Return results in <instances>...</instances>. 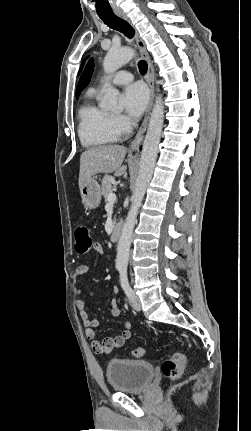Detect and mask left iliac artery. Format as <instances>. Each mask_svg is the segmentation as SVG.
Segmentation results:
<instances>
[{
	"mask_svg": "<svg viewBox=\"0 0 251 431\" xmlns=\"http://www.w3.org/2000/svg\"><path fill=\"white\" fill-rule=\"evenodd\" d=\"M120 284L124 292L126 293L127 297L129 299L132 298L133 291L132 288L129 285L128 278H127V268L126 267H120Z\"/></svg>",
	"mask_w": 251,
	"mask_h": 431,
	"instance_id": "1",
	"label": "left iliac artery"
}]
</instances>
